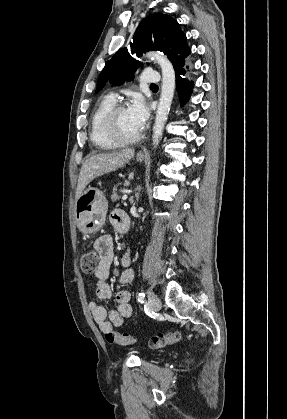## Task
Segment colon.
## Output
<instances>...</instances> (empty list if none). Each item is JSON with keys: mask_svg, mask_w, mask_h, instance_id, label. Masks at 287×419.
I'll return each mask as SVG.
<instances>
[{"mask_svg": "<svg viewBox=\"0 0 287 419\" xmlns=\"http://www.w3.org/2000/svg\"><path fill=\"white\" fill-rule=\"evenodd\" d=\"M100 265V255L95 250H86L81 254L80 266L85 274L95 273ZM106 340L111 344H118L127 346L135 341V337L128 333L107 332L105 334ZM182 340V335L178 331L169 332L166 334H157L150 340V346L154 349L166 347L168 345L176 344Z\"/></svg>", "mask_w": 287, "mask_h": 419, "instance_id": "obj_1", "label": "colon"}]
</instances>
